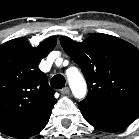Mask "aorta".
<instances>
[{
    "instance_id": "aorta-1",
    "label": "aorta",
    "mask_w": 139,
    "mask_h": 139,
    "mask_svg": "<svg viewBox=\"0 0 139 139\" xmlns=\"http://www.w3.org/2000/svg\"><path fill=\"white\" fill-rule=\"evenodd\" d=\"M67 79L76 99H83L87 94V84L83 75L76 68L67 70Z\"/></svg>"
}]
</instances>
